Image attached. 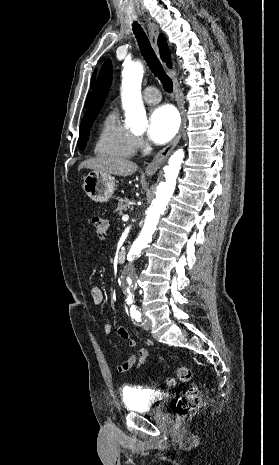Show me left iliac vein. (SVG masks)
<instances>
[{
    "label": "left iliac vein",
    "instance_id": "obj_1",
    "mask_svg": "<svg viewBox=\"0 0 279 465\" xmlns=\"http://www.w3.org/2000/svg\"><path fill=\"white\" fill-rule=\"evenodd\" d=\"M151 327H152V321L149 318L145 317L142 321V328L148 331L151 329Z\"/></svg>",
    "mask_w": 279,
    "mask_h": 465
}]
</instances>
